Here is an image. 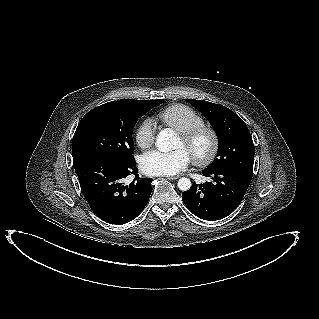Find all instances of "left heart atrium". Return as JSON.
<instances>
[{"label": "left heart atrium", "instance_id": "1", "mask_svg": "<svg viewBox=\"0 0 319 319\" xmlns=\"http://www.w3.org/2000/svg\"><path fill=\"white\" fill-rule=\"evenodd\" d=\"M190 163V155L180 147L170 152L153 150L141 157V170L150 176L173 175L185 169Z\"/></svg>", "mask_w": 319, "mask_h": 319}]
</instances>
